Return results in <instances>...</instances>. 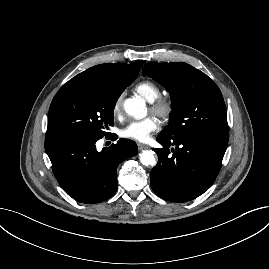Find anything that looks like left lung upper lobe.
Instances as JSON below:
<instances>
[{
  "label": "left lung upper lobe",
  "instance_id": "1",
  "mask_svg": "<svg viewBox=\"0 0 269 269\" xmlns=\"http://www.w3.org/2000/svg\"><path fill=\"white\" fill-rule=\"evenodd\" d=\"M142 73L163 85L172 98L171 122L158 137L171 140L195 132L228 135L223 96L206 74L183 62H149Z\"/></svg>",
  "mask_w": 269,
  "mask_h": 269
}]
</instances>
